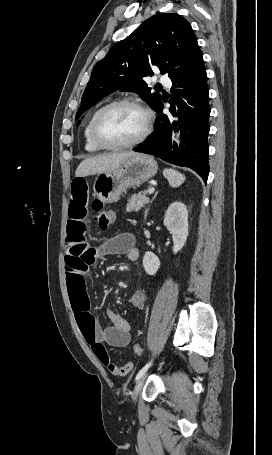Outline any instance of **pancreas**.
Here are the masks:
<instances>
[{
  "label": "pancreas",
  "mask_w": 272,
  "mask_h": 455,
  "mask_svg": "<svg viewBox=\"0 0 272 455\" xmlns=\"http://www.w3.org/2000/svg\"><path fill=\"white\" fill-rule=\"evenodd\" d=\"M149 203V198L147 197V190H144L138 194H134L132 198L128 201L126 210L127 212L139 211L142 207Z\"/></svg>",
  "instance_id": "cf45deb5"
}]
</instances>
